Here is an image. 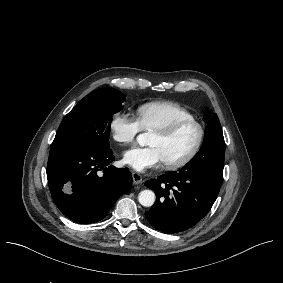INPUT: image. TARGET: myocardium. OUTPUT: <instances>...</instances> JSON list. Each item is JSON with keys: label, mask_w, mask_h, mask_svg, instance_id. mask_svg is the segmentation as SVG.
I'll list each match as a JSON object with an SVG mask.
<instances>
[{"label": "myocardium", "mask_w": 283, "mask_h": 283, "mask_svg": "<svg viewBox=\"0 0 283 283\" xmlns=\"http://www.w3.org/2000/svg\"><path fill=\"white\" fill-rule=\"evenodd\" d=\"M193 124L197 128V140L194 145V147L191 149V151L188 153L186 157H184L182 160L174 163H165V166L168 170H178L182 169L188 164H190L196 156L199 154V152L202 149V146L204 144L206 131L204 125L197 120L194 117L191 118H180L173 122L171 125H169L167 128H165L162 131L155 132L156 135H158L162 139H171L182 127Z\"/></svg>", "instance_id": "myocardium-1"}]
</instances>
